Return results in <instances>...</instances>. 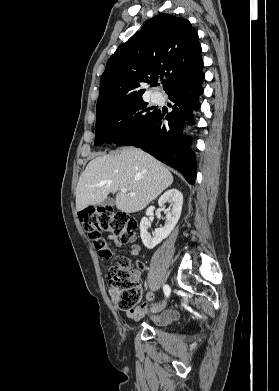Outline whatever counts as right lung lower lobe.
Returning a JSON list of instances; mask_svg holds the SVG:
<instances>
[{
  "instance_id": "98d812e1",
  "label": "right lung lower lobe",
  "mask_w": 279,
  "mask_h": 391,
  "mask_svg": "<svg viewBox=\"0 0 279 391\" xmlns=\"http://www.w3.org/2000/svg\"><path fill=\"white\" fill-rule=\"evenodd\" d=\"M201 71L186 80L168 94L172 101V112L164 115L159 110L149 119L128 130L114 143L136 146L150 153L163 163L179 170L188 183L196 178L195 154L190 150L191 138L181 137V127L187 119L194 123L192 110L200 107L198 97L203 93Z\"/></svg>"
}]
</instances>
